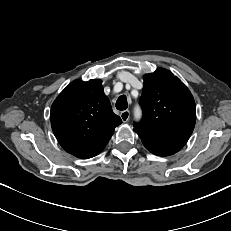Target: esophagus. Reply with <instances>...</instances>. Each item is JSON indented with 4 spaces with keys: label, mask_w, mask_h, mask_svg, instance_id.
<instances>
[{
    "label": "esophagus",
    "mask_w": 231,
    "mask_h": 231,
    "mask_svg": "<svg viewBox=\"0 0 231 231\" xmlns=\"http://www.w3.org/2000/svg\"><path fill=\"white\" fill-rule=\"evenodd\" d=\"M120 117L123 122H127L130 118V111L129 110L122 111Z\"/></svg>",
    "instance_id": "1"
}]
</instances>
